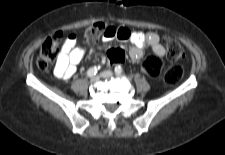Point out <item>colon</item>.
<instances>
[{"label":"colon","mask_w":225,"mask_h":155,"mask_svg":"<svg viewBox=\"0 0 225 155\" xmlns=\"http://www.w3.org/2000/svg\"><path fill=\"white\" fill-rule=\"evenodd\" d=\"M110 29L109 25L97 22L85 27L82 31V38L86 43H94ZM62 32H57L48 37L41 46L37 57V66L45 71L59 56L60 36ZM167 56L170 61L178 62L185 56L180 43L174 39H166ZM108 60L113 64L123 63L127 59V54L120 46H115L107 53ZM160 62L157 60H148L140 67V72L144 76L158 75L160 71ZM183 76V70L179 65H173L164 73L165 83L172 85L178 83Z\"/></svg>","instance_id":"obj_1"}]
</instances>
